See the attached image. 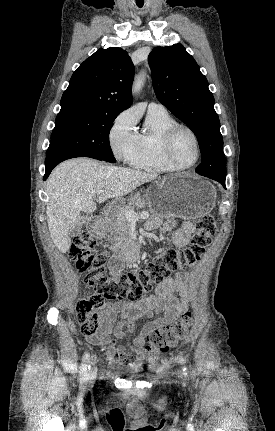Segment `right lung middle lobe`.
<instances>
[{
  "mask_svg": "<svg viewBox=\"0 0 275 431\" xmlns=\"http://www.w3.org/2000/svg\"><path fill=\"white\" fill-rule=\"evenodd\" d=\"M119 113L78 111L58 114L46 158L66 153H88L116 162L109 133Z\"/></svg>",
  "mask_w": 275,
  "mask_h": 431,
  "instance_id": "obj_1",
  "label": "right lung middle lobe"
}]
</instances>
